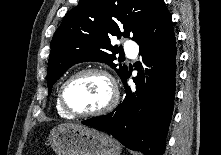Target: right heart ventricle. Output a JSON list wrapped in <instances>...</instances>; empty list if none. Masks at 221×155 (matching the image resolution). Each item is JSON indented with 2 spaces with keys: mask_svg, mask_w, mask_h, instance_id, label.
Masks as SVG:
<instances>
[{
  "mask_svg": "<svg viewBox=\"0 0 221 155\" xmlns=\"http://www.w3.org/2000/svg\"><path fill=\"white\" fill-rule=\"evenodd\" d=\"M56 109H57V112H58L59 115H61V116H63V117H67V118L71 117V116L68 115V114L62 109V107L60 106L58 97H57V99H56Z\"/></svg>",
  "mask_w": 221,
  "mask_h": 155,
  "instance_id": "obj_1",
  "label": "right heart ventricle"
}]
</instances>
